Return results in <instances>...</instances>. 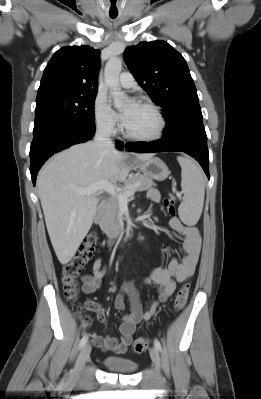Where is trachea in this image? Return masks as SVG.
<instances>
[{"label":"trachea","mask_w":261,"mask_h":399,"mask_svg":"<svg viewBox=\"0 0 261 399\" xmlns=\"http://www.w3.org/2000/svg\"><path fill=\"white\" fill-rule=\"evenodd\" d=\"M115 2H113V4H114ZM110 17L111 18H115L116 17V15H110Z\"/></svg>","instance_id":"3493384b"}]
</instances>
